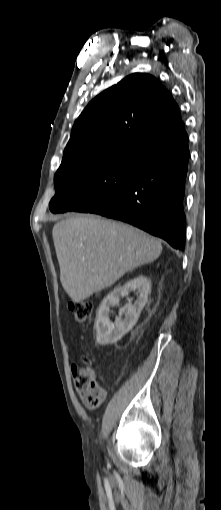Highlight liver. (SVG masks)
<instances>
[{"label":"liver","mask_w":221,"mask_h":510,"mask_svg":"<svg viewBox=\"0 0 221 510\" xmlns=\"http://www.w3.org/2000/svg\"><path fill=\"white\" fill-rule=\"evenodd\" d=\"M61 284L75 303L113 285L125 273L156 260L160 241L145 232L94 216L57 222L52 230Z\"/></svg>","instance_id":"1"}]
</instances>
